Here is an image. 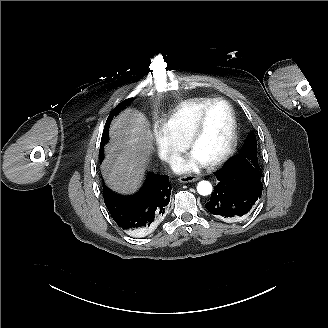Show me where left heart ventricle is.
<instances>
[{"instance_id": "obj_1", "label": "left heart ventricle", "mask_w": 328, "mask_h": 328, "mask_svg": "<svg viewBox=\"0 0 328 328\" xmlns=\"http://www.w3.org/2000/svg\"><path fill=\"white\" fill-rule=\"evenodd\" d=\"M231 115L227 105H214L207 113L204 126L191 150L201 154L208 162L220 156L231 137Z\"/></svg>"}]
</instances>
